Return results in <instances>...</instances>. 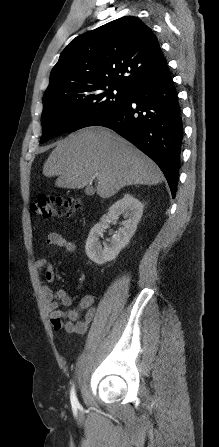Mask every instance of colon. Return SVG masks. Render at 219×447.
<instances>
[{"label":"colon","instance_id":"1","mask_svg":"<svg viewBox=\"0 0 219 447\" xmlns=\"http://www.w3.org/2000/svg\"><path fill=\"white\" fill-rule=\"evenodd\" d=\"M82 206V202L76 198H61L53 196H39L31 205L34 215L43 218L70 217Z\"/></svg>","mask_w":219,"mask_h":447}]
</instances>
